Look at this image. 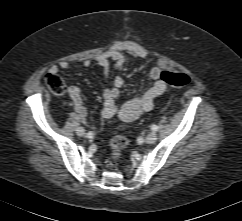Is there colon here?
<instances>
[{
    "instance_id": "1",
    "label": "colon",
    "mask_w": 242,
    "mask_h": 221,
    "mask_svg": "<svg viewBox=\"0 0 242 221\" xmlns=\"http://www.w3.org/2000/svg\"><path fill=\"white\" fill-rule=\"evenodd\" d=\"M160 79L166 84L181 88L189 85L191 78L189 75L181 72L163 71L160 74ZM45 83L48 89L55 95H62L65 92V82L57 73H48L45 77ZM130 144L128 137L124 135H116L111 139V158L114 162H119L123 158V151Z\"/></svg>"
}]
</instances>
